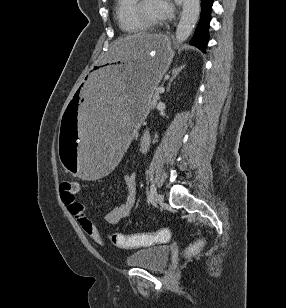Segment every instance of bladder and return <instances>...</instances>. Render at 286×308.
<instances>
[{"label":"bladder","mask_w":286,"mask_h":308,"mask_svg":"<svg viewBox=\"0 0 286 308\" xmlns=\"http://www.w3.org/2000/svg\"><path fill=\"white\" fill-rule=\"evenodd\" d=\"M170 257V249L166 245H156L142 248L129 255L126 264L132 267L152 271L163 270Z\"/></svg>","instance_id":"1"}]
</instances>
